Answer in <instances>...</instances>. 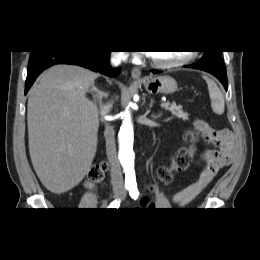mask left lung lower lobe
<instances>
[{
  "instance_id": "obj_1",
  "label": "left lung lower lobe",
  "mask_w": 260,
  "mask_h": 260,
  "mask_svg": "<svg viewBox=\"0 0 260 260\" xmlns=\"http://www.w3.org/2000/svg\"><path fill=\"white\" fill-rule=\"evenodd\" d=\"M187 67L211 73L219 79V81L223 84L226 90L228 89L226 69L220 56L208 55L203 57L197 63L188 65ZM152 72L154 74L160 73L159 71L155 70H153Z\"/></svg>"
}]
</instances>
